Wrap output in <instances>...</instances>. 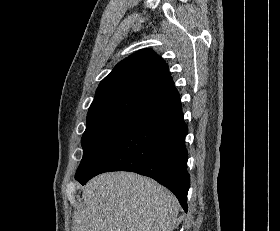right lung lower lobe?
Listing matches in <instances>:
<instances>
[{
    "mask_svg": "<svg viewBox=\"0 0 280 231\" xmlns=\"http://www.w3.org/2000/svg\"><path fill=\"white\" fill-rule=\"evenodd\" d=\"M187 133L181 106L156 114L108 143L75 179L84 185L103 172H136L167 187L187 212Z\"/></svg>",
    "mask_w": 280,
    "mask_h": 231,
    "instance_id": "98d812e1",
    "label": "right lung lower lobe"
}]
</instances>
